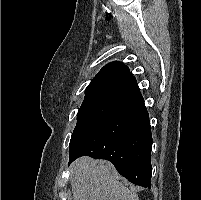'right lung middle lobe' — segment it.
Masks as SVG:
<instances>
[{"label": "right lung middle lobe", "mask_w": 201, "mask_h": 200, "mask_svg": "<svg viewBox=\"0 0 201 200\" xmlns=\"http://www.w3.org/2000/svg\"><path fill=\"white\" fill-rule=\"evenodd\" d=\"M130 101L127 97L111 92L86 93L84 101L77 113V124L70 142L83 130L111 112L123 107Z\"/></svg>", "instance_id": "right-lung-middle-lobe-1"}]
</instances>
